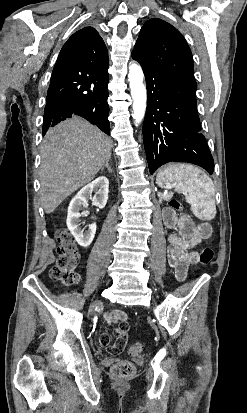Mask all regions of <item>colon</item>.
<instances>
[{
	"mask_svg": "<svg viewBox=\"0 0 247 413\" xmlns=\"http://www.w3.org/2000/svg\"><path fill=\"white\" fill-rule=\"evenodd\" d=\"M166 204H172L174 210H180L181 204L177 199H169ZM55 238L59 244V258L57 263L50 269V277L53 281L72 285L77 282L79 276L75 272L78 261V250L74 243L73 236L66 229L58 228L55 231ZM214 253L210 248H203L199 255V261L204 268H208L213 261ZM129 353L139 355L141 353L140 343H131ZM116 381H129L135 374V366L130 362H121L113 368Z\"/></svg>",
	"mask_w": 247,
	"mask_h": 413,
	"instance_id": "colon-1",
	"label": "colon"
}]
</instances>
